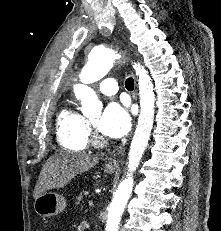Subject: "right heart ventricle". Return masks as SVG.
I'll return each mask as SVG.
<instances>
[{
    "mask_svg": "<svg viewBox=\"0 0 221 231\" xmlns=\"http://www.w3.org/2000/svg\"><path fill=\"white\" fill-rule=\"evenodd\" d=\"M59 145L69 151L81 152L88 145V124L86 118L72 107L60 111L56 121Z\"/></svg>",
    "mask_w": 221,
    "mask_h": 231,
    "instance_id": "e07e8e85",
    "label": "right heart ventricle"
}]
</instances>
